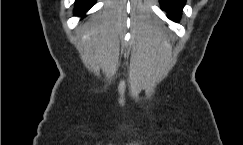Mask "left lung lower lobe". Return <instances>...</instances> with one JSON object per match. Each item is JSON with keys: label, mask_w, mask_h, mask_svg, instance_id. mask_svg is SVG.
<instances>
[{"label": "left lung lower lobe", "mask_w": 243, "mask_h": 145, "mask_svg": "<svg viewBox=\"0 0 243 145\" xmlns=\"http://www.w3.org/2000/svg\"><path fill=\"white\" fill-rule=\"evenodd\" d=\"M161 9L167 12L168 18L178 21L181 16L185 0H160Z\"/></svg>", "instance_id": "left-lung-lower-lobe-1"}]
</instances>
